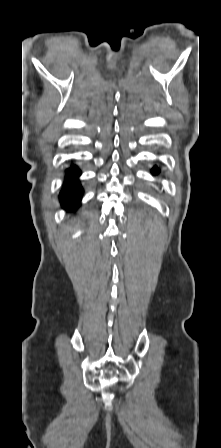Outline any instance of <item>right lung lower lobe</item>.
Instances as JSON below:
<instances>
[{
    "instance_id": "right-lung-lower-lobe-1",
    "label": "right lung lower lobe",
    "mask_w": 221,
    "mask_h": 448,
    "mask_svg": "<svg viewBox=\"0 0 221 448\" xmlns=\"http://www.w3.org/2000/svg\"><path fill=\"white\" fill-rule=\"evenodd\" d=\"M80 173L76 166L71 167L67 172V180L60 193L61 204L66 210H74L80 203L81 194L83 193V189L77 179Z\"/></svg>"
}]
</instances>
